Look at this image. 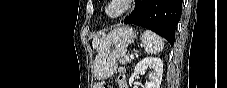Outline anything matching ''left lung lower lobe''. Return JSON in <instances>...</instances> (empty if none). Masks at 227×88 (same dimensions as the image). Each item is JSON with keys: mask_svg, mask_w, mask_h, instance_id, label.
Segmentation results:
<instances>
[{"mask_svg": "<svg viewBox=\"0 0 227 88\" xmlns=\"http://www.w3.org/2000/svg\"><path fill=\"white\" fill-rule=\"evenodd\" d=\"M181 10L182 0H137L132 15L122 23L150 29L173 45Z\"/></svg>", "mask_w": 227, "mask_h": 88, "instance_id": "obj_1", "label": "left lung lower lobe"}]
</instances>
